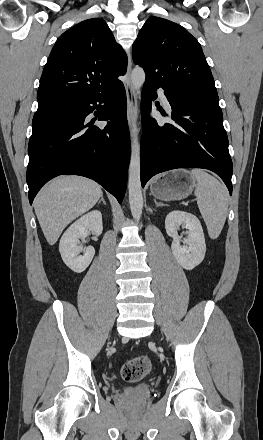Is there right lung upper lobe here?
Instances as JSON below:
<instances>
[{"instance_id":"1","label":"right lung upper lobe","mask_w":263,"mask_h":440,"mask_svg":"<svg viewBox=\"0 0 263 440\" xmlns=\"http://www.w3.org/2000/svg\"><path fill=\"white\" fill-rule=\"evenodd\" d=\"M127 58L103 19L80 22L56 41L44 67L38 107L66 103L120 82Z\"/></svg>"}]
</instances>
